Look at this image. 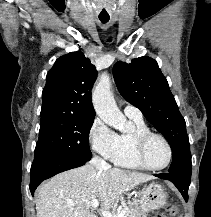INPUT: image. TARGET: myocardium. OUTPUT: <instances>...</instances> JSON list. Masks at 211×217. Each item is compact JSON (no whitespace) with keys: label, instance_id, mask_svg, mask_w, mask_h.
Wrapping results in <instances>:
<instances>
[{"label":"myocardium","instance_id":"obj_1","mask_svg":"<svg viewBox=\"0 0 211 217\" xmlns=\"http://www.w3.org/2000/svg\"><path fill=\"white\" fill-rule=\"evenodd\" d=\"M152 138L161 139L167 147L168 160H167L166 164L162 167H153L147 161L146 148H147L149 141ZM135 152H136V156H137V159L139 160L140 164L144 168H146L148 170H152V171H161V170L166 169L171 164V161L173 158V150H172V147H171L169 141L167 140V138L160 133H156V132H152V131H147V132L140 133V134L136 135Z\"/></svg>","mask_w":211,"mask_h":217}]
</instances>
